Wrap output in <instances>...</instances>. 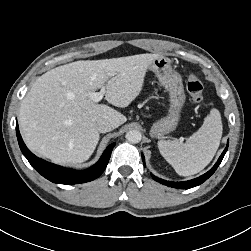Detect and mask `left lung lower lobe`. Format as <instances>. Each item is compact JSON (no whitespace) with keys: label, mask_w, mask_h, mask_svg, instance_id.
I'll list each match as a JSON object with an SVG mask.
<instances>
[{"label":"left lung lower lobe","mask_w":251,"mask_h":251,"mask_svg":"<svg viewBox=\"0 0 251 251\" xmlns=\"http://www.w3.org/2000/svg\"><path fill=\"white\" fill-rule=\"evenodd\" d=\"M227 149H228V143H227V146L224 149L223 153L219 157L218 161L216 162V164L207 173L203 174L202 176H200L198 178H195V179H192V180H189V181H184V182H171V181L162 180V179L154 176L153 174H151V176L157 182H159L161 184H164L166 186H169V187H173V188H177V189L193 188L195 186H198V185L202 184L204 181H206L216 171V169L219 166V164L221 163ZM142 159L144 160L143 155H142Z\"/></svg>","instance_id":"obj_1"}]
</instances>
